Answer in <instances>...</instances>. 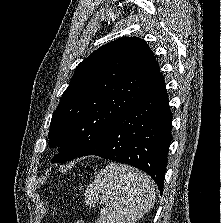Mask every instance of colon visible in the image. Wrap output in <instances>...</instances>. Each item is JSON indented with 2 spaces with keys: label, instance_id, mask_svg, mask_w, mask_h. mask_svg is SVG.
I'll list each match as a JSON object with an SVG mask.
<instances>
[{
  "label": "colon",
  "instance_id": "colon-1",
  "mask_svg": "<svg viewBox=\"0 0 221 223\" xmlns=\"http://www.w3.org/2000/svg\"><path fill=\"white\" fill-rule=\"evenodd\" d=\"M77 223H86V221L82 218L78 219Z\"/></svg>",
  "mask_w": 221,
  "mask_h": 223
}]
</instances>
